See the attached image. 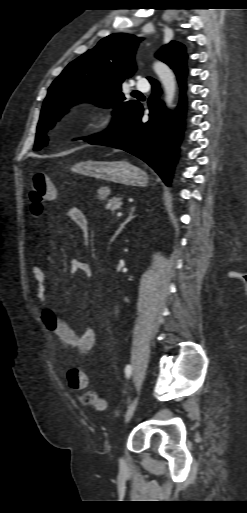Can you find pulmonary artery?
<instances>
[{
	"label": "pulmonary artery",
	"mask_w": 247,
	"mask_h": 513,
	"mask_svg": "<svg viewBox=\"0 0 247 513\" xmlns=\"http://www.w3.org/2000/svg\"><path fill=\"white\" fill-rule=\"evenodd\" d=\"M136 88L140 91L147 92L150 88V85L146 80H140L137 82Z\"/></svg>",
	"instance_id": "pulmonary-artery-1"
}]
</instances>
